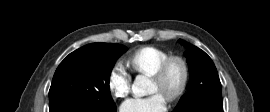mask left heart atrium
I'll return each mask as SVG.
<instances>
[{
    "label": "left heart atrium",
    "instance_id": "left-heart-atrium-1",
    "mask_svg": "<svg viewBox=\"0 0 270 112\" xmlns=\"http://www.w3.org/2000/svg\"><path fill=\"white\" fill-rule=\"evenodd\" d=\"M167 109L166 99L159 93L148 97H134L124 101L120 112H165Z\"/></svg>",
    "mask_w": 270,
    "mask_h": 112
}]
</instances>
